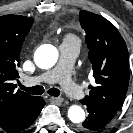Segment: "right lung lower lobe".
I'll return each instance as SVG.
<instances>
[{"mask_svg":"<svg viewBox=\"0 0 133 133\" xmlns=\"http://www.w3.org/2000/svg\"><path fill=\"white\" fill-rule=\"evenodd\" d=\"M44 105L45 101L43 98L35 97L26 102L19 111L8 122L1 125L0 128L7 133H18L28 128L38 117Z\"/></svg>","mask_w":133,"mask_h":133,"instance_id":"98d812e1","label":"right lung lower lobe"}]
</instances>
